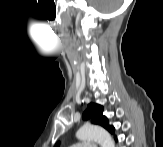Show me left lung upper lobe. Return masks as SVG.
I'll return each instance as SVG.
<instances>
[{
    "mask_svg": "<svg viewBox=\"0 0 163 147\" xmlns=\"http://www.w3.org/2000/svg\"><path fill=\"white\" fill-rule=\"evenodd\" d=\"M102 112L103 107L101 105L90 103L87 110L83 113V119L87 120L93 117L92 123L100 125L109 132L114 133V127L109 125L108 119L102 114Z\"/></svg>",
    "mask_w": 163,
    "mask_h": 147,
    "instance_id": "obj_1",
    "label": "left lung upper lobe"
}]
</instances>
